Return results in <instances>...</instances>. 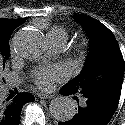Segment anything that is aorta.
<instances>
[{
	"label": "aorta",
	"mask_w": 125,
	"mask_h": 125,
	"mask_svg": "<svg viewBox=\"0 0 125 125\" xmlns=\"http://www.w3.org/2000/svg\"><path fill=\"white\" fill-rule=\"evenodd\" d=\"M16 49L23 57H38L46 49L45 38L38 30L22 31L17 37ZM49 109L51 115L60 121H67L76 113L74 102L66 96L52 100Z\"/></svg>",
	"instance_id": "aorta-1"
}]
</instances>
